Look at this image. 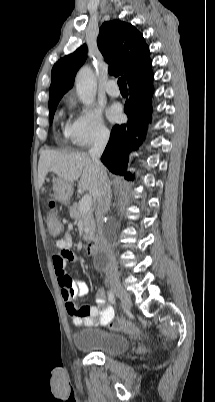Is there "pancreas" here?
<instances>
[{
  "label": "pancreas",
  "instance_id": "obj_1",
  "mask_svg": "<svg viewBox=\"0 0 215 402\" xmlns=\"http://www.w3.org/2000/svg\"><path fill=\"white\" fill-rule=\"evenodd\" d=\"M70 217L74 219L76 222L81 221L84 225L85 236L84 240H91L96 231L95 220L93 218V210L90 209L87 212L80 211V204L74 203L70 209Z\"/></svg>",
  "mask_w": 215,
  "mask_h": 402
}]
</instances>
